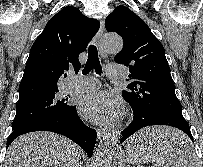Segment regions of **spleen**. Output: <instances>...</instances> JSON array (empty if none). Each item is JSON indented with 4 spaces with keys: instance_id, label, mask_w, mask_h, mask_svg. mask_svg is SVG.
Segmentation results:
<instances>
[{
    "instance_id": "3e777b00",
    "label": "spleen",
    "mask_w": 203,
    "mask_h": 167,
    "mask_svg": "<svg viewBox=\"0 0 203 167\" xmlns=\"http://www.w3.org/2000/svg\"><path fill=\"white\" fill-rule=\"evenodd\" d=\"M186 137H175L170 139L167 136L158 139L159 145L156 148H136L135 157L138 161H152L151 167H195L196 157L191 150V145L181 148Z\"/></svg>"
}]
</instances>
